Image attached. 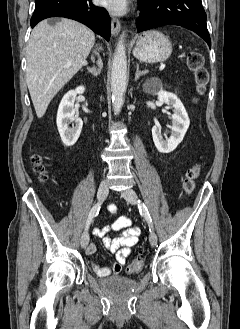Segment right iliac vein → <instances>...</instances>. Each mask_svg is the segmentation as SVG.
<instances>
[{"label":"right iliac vein","mask_w":240,"mask_h":329,"mask_svg":"<svg viewBox=\"0 0 240 329\" xmlns=\"http://www.w3.org/2000/svg\"><path fill=\"white\" fill-rule=\"evenodd\" d=\"M108 192H109L108 183L106 181H103L99 186L97 198L103 201L107 197ZM88 243H89V233L87 230H85L81 236V241H80L81 247L85 249Z\"/></svg>","instance_id":"obj_1"}]
</instances>
